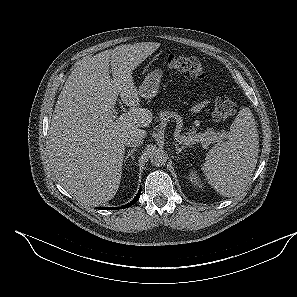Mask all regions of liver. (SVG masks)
I'll list each match as a JSON object with an SVG mask.
<instances>
[{"instance_id":"liver-1","label":"liver","mask_w":297,"mask_h":297,"mask_svg":"<svg viewBox=\"0 0 297 297\" xmlns=\"http://www.w3.org/2000/svg\"><path fill=\"white\" fill-rule=\"evenodd\" d=\"M159 47L142 42L102 51L76 66L65 82L48 130V152L60 184L84 205L98 206L115 196L125 137L146 135L141 127L149 126L152 114L139 107L132 72ZM118 96L130 107L119 117Z\"/></svg>"}]
</instances>
